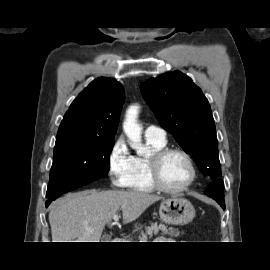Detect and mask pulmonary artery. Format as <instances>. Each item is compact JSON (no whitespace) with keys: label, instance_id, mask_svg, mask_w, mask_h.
Masks as SVG:
<instances>
[{"label":"pulmonary artery","instance_id":"e3ab8cb5","mask_svg":"<svg viewBox=\"0 0 270 270\" xmlns=\"http://www.w3.org/2000/svg\"><path fill=\"white\" fill-rule=\"evenodd\" d=\"M145 136L157 141H166V131L156 126H148L145 130Z\"/></svg>","mask_w":270,"mask_h":270}]
</instances>
